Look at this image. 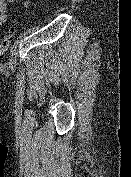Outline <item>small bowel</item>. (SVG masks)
I'll use <instances>...</instances> for the list:
<instances>
[{"instance_id":"1","label":"small bowel","mask_w":131,"mask_h":177,"mask_svg":"<svg viewBox=\"0 0 131 177\" xmlns=\"http://www.w3.org/2000/svg\"><path fill=\"white\" fill-rule=\"evenodd\" d=\"M16 2H20L23 7L31 5L30 0H0V27L8 22L10 18V7Z\"/></svg>"}]
</instances>
